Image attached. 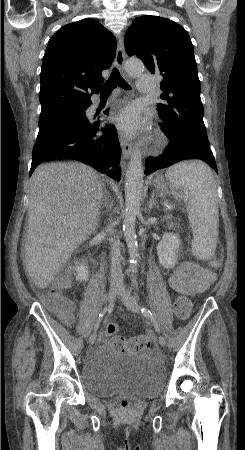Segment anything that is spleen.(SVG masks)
<instances>
[{
    "instance_id": "3e777b00",
    "label": "spleen",
    "mask_w": 245,
    "mask_h": 450,
    "mask_svg": "<svg viewBox=\"0 0 245 450\" xmlns=\"http://www.w3.org/2000/svg\"><path fill=\"white\" fill-rule=\"evenodd\" d=\"M166 179L176 199L188 198L187 212L193 232L192 252L200 260L211 258L216 249L219 210L217 188L210 168L201 161H185L170 167Z\"/></svg>"
}]
</instances>
